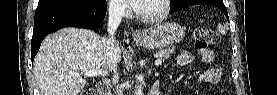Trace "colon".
<instances>
[{
	"mask_svg": "<svg viewBox=\"0 0 277 95\" xmlns=\"http://www.w3.org/2000/svg\"><path fill=\"white\" fill-rule=\"evenodd\" d=\"M194 45L198 50H206L219 42V36L208 27H197L193 32ZM94 90L88 89L81 92V95H94Z\"/></svg>",
	"mask_w": 277,
	"mask_h": 95,
	"instance_id": "colon-1",
	"label": "colon"
}]
</instances>
